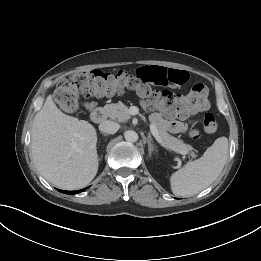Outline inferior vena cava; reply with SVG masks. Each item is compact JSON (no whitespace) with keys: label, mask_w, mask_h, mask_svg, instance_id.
I'll use <instances>...</instances> for the list:
<instances>
[{"label":"inferior vena cava","mask_w":261,"mask_h":261,"mask_svg":"<svg viewBox=\"0 0 261 261\" xmlns=\"http://www.w3.org/2000/svg\"><path fill=\"white\" fill-rule=\"evenodd\" d=\"M99 130L102 133L114 134L119 130V124L110 120L104 121L100 123Z\"/></svg>","instance_id":"inferior-vena-cava-1"}]
</instances>
